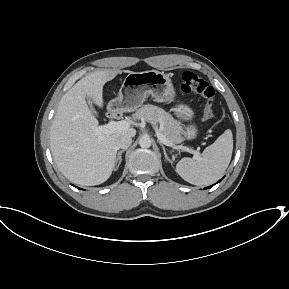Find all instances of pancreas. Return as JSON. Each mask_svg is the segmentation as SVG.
<instances>
[{
  "instance_id": "obj_1",
  "label": "pancreas",
  "mask_w": 289,
  "mask_h": 289,
  "mask_svg": "<svg viewBox=\"0 0 289 289\" xmlns=\"http://www.w3.org/2000/svg\"><path fill=\"white\" fill-rule=\"evenodd\" d=\"M133 117L153 124L160 122L162 134L171 143H179L183 140L181 136L183 128L180 123L158 106L144 105L136 111Z\"/></svg>"
}]
</instances>
